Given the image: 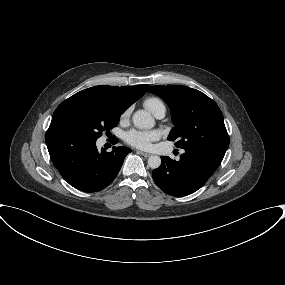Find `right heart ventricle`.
<instances>
[{
	"mask_svg": "<svg viewBox=\"0 0 285 285\" xmlns=\"http://www.w3.org/2000/svg\"><path fill=\"white\" fill-rule=\"evenodd\" d=\"M144 106L153 113L158 108H165L164 103L157 97H148L144 100Z\"/></svg>",
	"mask_w": 285,
	"mask_h": 285,
	"instance_id": "right-heart-ventricle-1",
	"label": "right heart ventricle"
}]
</instances>
